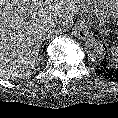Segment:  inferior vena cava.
<instances>
[{
	"instance_id": "602c4592",
	"label": "inferior vena cava",
	"mask_w": 118,
	"mask_h": 118,
	"mask_svg": "<svg viewBox=\"0 0 118 118\" xmlns=\"http://www.w3.org/2000/svg\"><path fill=\"white\" fill-rule=\"evenodd\" d=\"M61 28L62 26L60 27V26H57L56 24H52L50 31L52 33H58L59 31H61Z\"/></svg>"
}]
</instances>
